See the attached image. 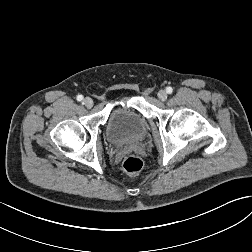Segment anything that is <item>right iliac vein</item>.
<instances>
[{
    "instance_id": "63e3f726",
    "label": "right iliac vein",
    "mask_w": 252,
    "mask_h": 252,
    "mask_svg": "<svg viewBox=\"0 0 252 252\" xmlns=\"http://www.w3.org/2000/svg\"><path fill=\"white\" fill-rule=\"evenodd\" d=\"M83 103L87 108H91L93 106V100L90 97H86Z\"/></svg>"
}]
</instances>
